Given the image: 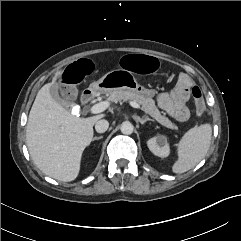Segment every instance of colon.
I'll return each mask as SVG.
<instances>
[{"mask_svg": "<svg viewBox=\"0 0 241 241\" xmlns=\"http://www.w3.org/2000/svg\"><path fill=\"white\" fill-rule=\"evenodd\" d=\"M118 66L122 70L135 71L139 75L160 73L164 69V62L160 58L151 57L143 53L122 55L118 59ZM66 74L62 80L56 81L50 77V82L57 86L58 98L62 102H73L77 98L76 88L80 79L90 75L95 70V63L89 57H81L72 65L64 66ZM193 98L197 114L205 111V102L198 88L193 90Z\"/></svg>", "mask_w": 241, "mask_h": 241, "instance_id": "5ec220e1", "label": "colon"}]
</instances>
